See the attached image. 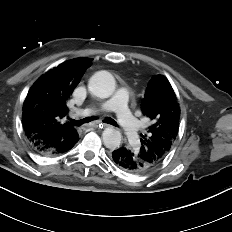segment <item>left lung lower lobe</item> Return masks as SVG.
<instances>
[{"label":"left lung lower lobe","instance_id":"1","mask_svg":"<svg viewBox=\"0 0 232 232\" xmlns=\"http://www.w3.org/2000/svg\"><path fill=\"white\" fill-rule=\"evenodd\" d=\"M111 157L117 167L129 173L141 174L153 168L151 164L139 157L136 152L125 147L114 150Z\"/></svg>","mask_w":232,"mask_h":232}]
</instances>
